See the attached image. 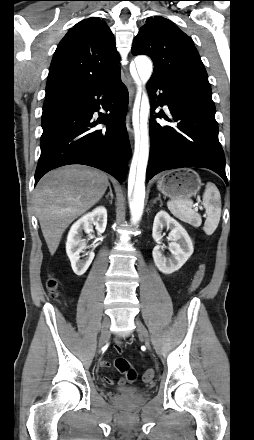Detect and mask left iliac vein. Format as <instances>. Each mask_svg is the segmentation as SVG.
I'll use <instances>...</instances> for the list:
<instances>
[{
    "label": "left iliac vein",
    "instance_id": "1",
    "mask_svg": "<svg viewBox=\"0 0 254 440\" xmlns=\"http://www.w3.org/2000/svg\"><path fill=\"white\" fill-rule=\"evenodd\" d=\"M135 325H136V330L139 333V335L142 336L144 338V340H145V343L147 345H149V343H150V341H149V334H148V331L145 328V326L138 319H135Z\"/></svg>",
    "mask_w": 254,
    "mask_h": 440
}]
</instances>
